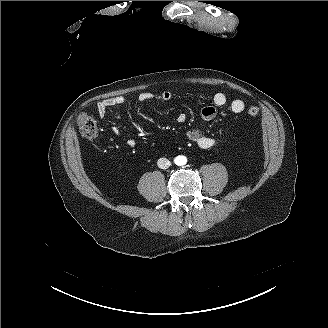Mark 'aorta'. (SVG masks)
I'll return each instance as SVG.
<instances>
[{
	"instance_id": "762f6f07",
	"label": "aorta",
	"mask_w": 328,
	"mask_h": 328,
	"mask_svg": "<svg viewBox=\"0 0 328 328\" xmlns=\"http://www.w3.org/2000/svg\"><path fill=\"white\" fill-rule=\"evenodd\" d=\"M175 163L179 166H183L187 163V158L185 156H178L175 159Z\"/></svg>"
}]
</instances>
